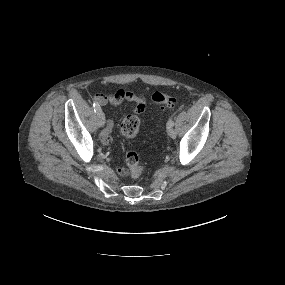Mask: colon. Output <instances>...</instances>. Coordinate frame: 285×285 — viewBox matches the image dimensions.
Returning <instances> with one entry per match:
<instances>
[{
	"mask_svg": "<svg viewBox=\"0 0 285 285\" xmlns=\"http://www.w3.org/2000/svg\"><path fill=\"white\" fill-rule=\"evenodd\" d=\"M152 101L162 108H173L177 104L174 96L159 91L152 94ZM139 128V118L136 115H128L122 120L120 129L125 137L133 138L137 135ZM125 162L132 176L138 177L143 173V167L139 164V158L135 152H127Z\"/></svg>",
	"mask_w": 285,
	"mask_h": 285,
	"instance_id": "colon-1",
	"label": "colon"
}]
</instances>
